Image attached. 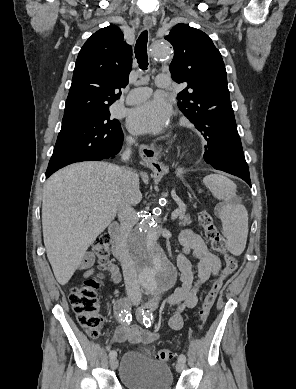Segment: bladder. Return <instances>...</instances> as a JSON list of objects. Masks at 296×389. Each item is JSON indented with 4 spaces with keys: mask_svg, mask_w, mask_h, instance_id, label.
<instances>
[{
    "mask_svg": "<svg viewBox=\"0 0 296 389\" xmlns=\"http://www.w3.org/2000/svg\"><path fill=\"white\" fill-rule=\"evenodd\" d=\"M118 376L127 389H171L173 385L172 371L165 362L136 350L123 354Z\"/></svg>",
    "mask_w": 296,
    "mask_h": 389,
    "instance_id": "31cf9c89",
    "label": "bladder"
}]
</instances>
